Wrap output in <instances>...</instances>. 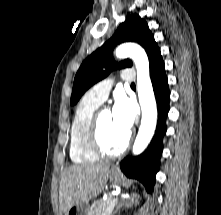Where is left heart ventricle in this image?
I'll use <instances>...</instances> for the list:
<instances>
[{"instance_id": "left-heart-ventricle-1", "label": "left heart ventricle", "mask_w": 221, "mask_h": 215, "mask_svg": "<svg viewBox=\"0 0 221 215\" xmlns=\"http://www.w3.org/2000/svg\"><path fill=\"white\" fill-rule=\"evenodd\" d=\"M100 136L104 147L109 151L119 150L128 138L116 126L111 110L105 111L101 117Z\"/></svg>"}]
</instances>
